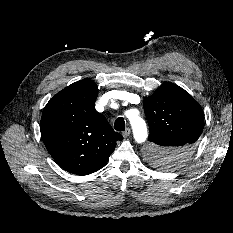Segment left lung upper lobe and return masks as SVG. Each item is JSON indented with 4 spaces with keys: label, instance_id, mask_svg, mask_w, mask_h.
Returning <instances> with one entry per match:
<instances>
[{
    "label": "left lung upper lobe",
    "instance_id": "left-lung-upper-lobe-1",
    "mask_svg": "<svg viewBox=\"0 0 233 233\" xmlns=\"http://www.w3.org/2000/svg\"><path fill=\"white\" fill-rule=\"evenodd\" d=\"M151 142L148 161L161 169L184 163L196 148L204 126L201 106L184 89L165 82L143 100Z\"/></svg>",
    "mask_w": 233,
    "mask_h": 233
}]
</instances>
